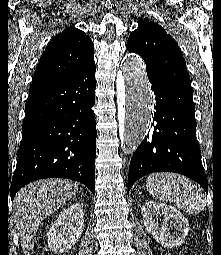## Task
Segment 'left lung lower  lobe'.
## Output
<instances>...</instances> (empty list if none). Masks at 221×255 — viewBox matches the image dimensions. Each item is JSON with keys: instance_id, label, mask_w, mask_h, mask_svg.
Here are the masks:
<instances>
[{"instance_id": "left-lung-lower-lobe-1", "label": "left lung lower lobe", "mask_w": 221, "mask_h": 255, "mask_svg": "<svg viewBox=\"0 0 221 255\" xmlns=\"http://www.w3.org/2000/svg\"><path fill=\"white\" fill-rule=\"evenodd\" d=\"M148 78L156 100L155 124L131 158L128 190L144 175L175 172L198 182L208 192L196 141L193 94L154 76Z\"/></svg>"}]
</instances>
